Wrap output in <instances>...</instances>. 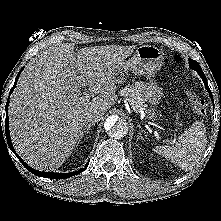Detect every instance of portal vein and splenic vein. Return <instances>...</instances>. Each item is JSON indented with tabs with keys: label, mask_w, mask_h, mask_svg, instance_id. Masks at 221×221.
Listing matches in <instances>:
<instances>
[{
	"label": "portal vein and splenic vein",
	"mask_w": 221,
	"mask_h": 221,
	"mask_svg": "<svg viewBox=\"0 0 221 221\" xmlns=\"http://www.w3.org/2000/svg\"><path fill=\"white\" fill-rule=\"evenodd\" d=\"M83 95H84V97H86V98L89 97V95H88L86 92H84Z\"/></svg>",
	"instance_id": "portal-vein-and-splenic-vein-1"
}]
</instances>
